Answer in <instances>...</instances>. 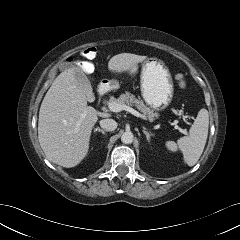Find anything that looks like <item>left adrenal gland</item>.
<instances>
[{
    "instance_id": "left-adrenal-gland-1",
    "label": "left adrenal gland",
    "mask_w": 240,
    "mask_h": 240,
    "mask_svg": "<svg viewBox=\"0 0 240 240\" xmlns=\"http://www.w3.org/2000/svg\"><path fill=\"white\" fill-rule=\"evenodd\" d=\"M143 133L146 135V138H147L148 142H150V138H151L152 133L148 132L145 127H143Z\"/></svg>"
}]
</instances>
